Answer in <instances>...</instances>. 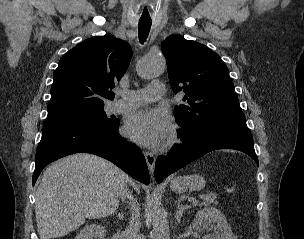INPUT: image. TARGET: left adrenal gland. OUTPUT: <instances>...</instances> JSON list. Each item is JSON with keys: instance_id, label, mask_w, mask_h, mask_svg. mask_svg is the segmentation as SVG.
Here are the masks:
<instances>
[{"instance_id": "a2214340", "label": "left adrenal gland", "mask_w": 304, "mask_h": 239, "mask_svg": "<svg viewBox=\"0 0 304 239\" xmlns=\"http://www.w3.org/2000/svg\"><path fill=\"white\" fill-rule=\"evenodd\" d=\"M175 203L177 204V210H176V213H175V219L177 220L178 223L181 222V217H182V214L184 212V210L188 209L190 206L189 205H184V204H181L180 201H175Z\"/></svg>"}]
</instances>
